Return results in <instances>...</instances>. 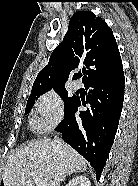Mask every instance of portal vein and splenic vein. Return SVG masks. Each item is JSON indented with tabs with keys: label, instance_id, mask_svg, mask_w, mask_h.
<instances>
[{
	"label": "portal vein and splenic vein",
	"instance_id": "18ae733b",
	"mask_svg": "<svg viewBox=\"0 0 138 186\" xmlns=\"http://www.w3.org/2000/svg\"><path fill=\"white\" fill-rule=\"evenodd\" d=\"M29 176L33 179L35 182L36 186H46V183L39 179L34 173H30ZM24 180V179H22Z\"/></svg>",
	"mask_w": 138,
	"mask_h": 186
}]
</instances>
